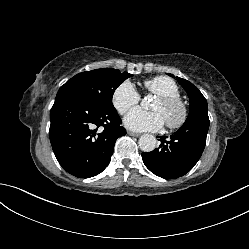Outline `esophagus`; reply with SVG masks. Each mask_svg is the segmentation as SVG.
I'll use <instances>...</instances> for the list:
<instances>
[{"instance_id": "34e87169", "label": "esophagus", "mask_w": 249, "mask_h": 249, "mask_svg": "<svg viewBox=\"0 0 249 249\" xmlns=\"http://www.w3.org/2000/svg\"><path fill=\"white\" fill-rule=\"evenodd\" d=\"M127 133H128V135H130V136H140L139 133H135V132H132V131H128Z\"/></svg>"}]
</instances>
